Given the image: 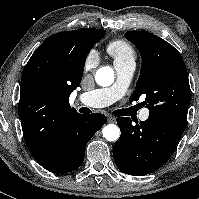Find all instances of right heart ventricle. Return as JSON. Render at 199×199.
I'll return each instance as SVG.
<instances>
[{
    "label": "right heart ventricle",
    "instance_id": "right-heart-ventricle-1",
    "mask_svg": "<svg viewBox=\"0 0 199 199\" xmlns=\"http://www.w3.org/2000/svg\"><path fill=\"white\" fill-rule=\"evenodd\" d=\"M109 55L114 59L115 64L134 62L136 55L135 50L130 43L125 40H114L107 46Z\"/></svg>",
    "mask_w": 199,
    "mask_h": 199
}]
</instances>
